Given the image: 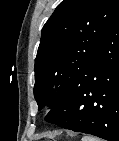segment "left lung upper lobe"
<instances>
[{"instance_id":"1","label":"left lung upper lobe","mask_w":119,"mask_h":141,"mask_svg":"<svg viewBox=\"0 0 119 141\" xmlns=\"http://www.w3.org/2000/svg\"><path fill=\"white\" fill-rule=\"evenodd\" d=\"M119 14V0H63L42 29L34 97L53 108L85 71Z\"/></svg>"}]
</instances>
